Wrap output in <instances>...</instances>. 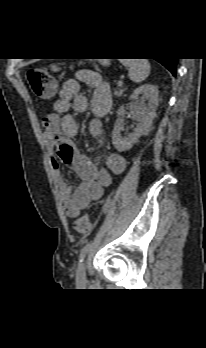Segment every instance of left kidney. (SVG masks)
<instances>
[{
	"instance_id": "5707ae66",
	"label": "left kidney",
	"mask_w": 206,
	"mask_h": 348,
	"mask_svg": "<svg viewBox=\"0 0 206 348\" xmlns=\"http://www.w3.org/2000/svg\"><path fill=\"white\" fill-rule=\"evenodd\" d=\"M141 94L143 96L139 99ZM129 99L131 100V114L138 121V124L133 133L124 137L121 135L123 130L121 117L125 114L124 106H121L117 112L118 118L112 131V143L119 152L130 149L141 136L149 132L159 104L158 90L150 84H144L136 88ZM146 100H148V104H145Z\"/></svg>"
}]
</instances>
